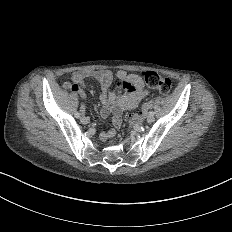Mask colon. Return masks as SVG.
<instances>
[{"label": "colon", "mask_w": 232, "mask_h": 232, "mask_svg": "<svg viewBox=\"0 0 232 232\" xmlns=\"http://www.w3.org/2000/svg\"><path fill=\"white\" fill-rule=\"evenodd\" d=\"M144 81L147 86H152V91L155 92V97H162L163 95H172V90H166L169 86H174V81H170L168 77L161 76L157 80L156 71H151L145 74Z\"/></svg>", "instance_id": "1"}]
</instances>
